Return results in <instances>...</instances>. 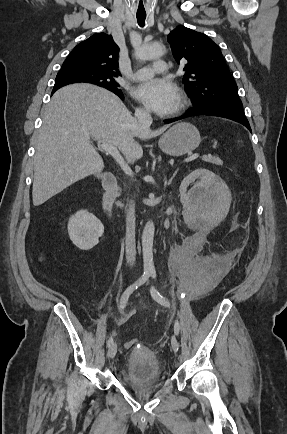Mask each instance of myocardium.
Returning a JSON list of instances; mask_svg holds the SVG:
<instances>
[{"label":"myocardium","instance_id":"1","mask_svg":"<svg viewBox=\"0 0 287 434\" xmlns=\"http://www.w3.org/2000/svg\"><path fill=\"white\" fill-rule=\"evenodd\" d=\"M186 105H187V99L181 93L179 96L178 104H177L176 108L174 109V111L172 112V114L180 113L181 111H183L185 109Z\"/></svg>","mask_w":287,"mask_h":434}]
</instances>
